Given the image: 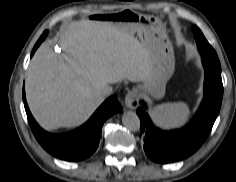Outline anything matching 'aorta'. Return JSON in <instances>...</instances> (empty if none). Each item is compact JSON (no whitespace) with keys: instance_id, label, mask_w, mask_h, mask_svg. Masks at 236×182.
Here are the masks:
<instances>
[{"instance_id":"obj_1","label":"aorta","mask_w":236,"mask_h":182,"mask_svg":"<svg viewBox=\"0 0 236 182\" xmlns=\"http://www.w3.org/2000/svg\"><path fill=\"white\" fill-rule=\"evenodd\" d=\"M122 123L130 131H138L140 129V119L135 112H125L122 116Z\"/></svg>"}]
</instances>
